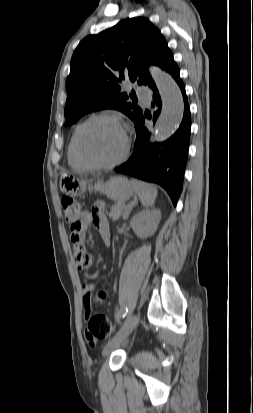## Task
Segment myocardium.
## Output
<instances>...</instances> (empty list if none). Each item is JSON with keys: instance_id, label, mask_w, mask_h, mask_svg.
I'll return each mask as SVG.
<instances>
[{"instance_id": "1", "label": "myocardium", "mask_w": 253, "mask_h": 413, "mask_svg": "<svg viewBox=\"0 0 253 413\" xmlns=\"http://www.w3.org/2000/svg\"><path fill=\"white\" fill-rule=\"evenodd\" d=\"M98 120H108V121H112L118 124L124 135V149L121 155L111 162L101 163V162L92 161L84 154L82 147H81V135L83 131L89 124L95 121H98ZM74 144H75V151H76L78 158L87 167L92 168V169H110V168L116 167L117 165L125 161V159L127 158L129 154V150H130V138L128 135V130H127L126 125L121 120V118H119L118 116L107 114V113H99V114L92 115L91 117L86 119L83 123H81L80 126L76 130Z\"/></svg>"}]
</instances>
